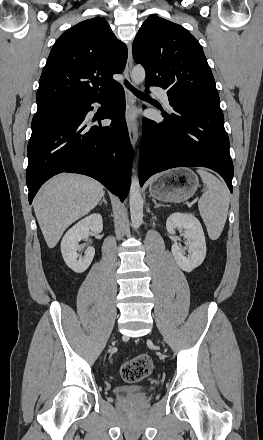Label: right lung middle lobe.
<instances>
[{"mask_svg":"<svg viewBox=\"0 0 263 440\" xmlns=\"http://www.w3.org/2000/svg\"><path fill=\"white\" fill-rule=\"evenodd\" d=\"M74 106L72 102H63L38 107L32 120V134H35L52 123L73 115Z\"/></svg>","mask_w":263,"mask_h":440,"instance_id":"dd1d6c3e","label":"right lung middle lobe"}]
</instances>
